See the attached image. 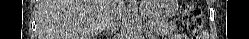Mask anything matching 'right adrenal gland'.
I'll list each match as a JSON object with an SVG mask.
<instances>
[{
	"mask_svg": "<svg viewBox=\"0 0 249 39\" xmlns=\"http://www.w3.org/2000/svg\"><path fill=\"white\" fill-rule=\"evenodd\" d=\"M102 31L105 32V29L102 30ZM102 31H101V32H102ZM106 34H112V32H109V31L106 30Z\"/></svg>",
	"mask_w": 249,
	"mask_h": 39,
	"instance_id": "right-adrenal-gland-1",
	"label": "right adrenal gland"
}]
</instances>
